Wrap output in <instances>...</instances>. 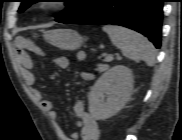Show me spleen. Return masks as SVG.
<instances>
[{"instance_id": "3e777b00", "label": "spleen", "mask_w": 182, "mask_h": 140, "mask_svg": "<svg viewBox=\"0 0 182 140\" xmlns=\"http://www.w3.org/2000/svg\"><path fill=\"white\" fill-rule=\"evenodd\" d=\"M103 31L108 34L111 42L121 49L125 57L136 62L145 61L148 66L155 64V48L141 34L115 25H106Z\"/></svg>"}]
</instances>
